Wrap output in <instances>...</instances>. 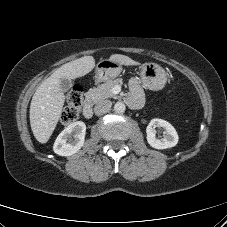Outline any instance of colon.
<instances>
[{"mask_svg": "<svg viewBox=\"0 0 227 227\" xmlns=\"http://www.w3.org/2000/svg\"><path fill=\"white\" fill-rule=\"evenodd\" d=\"M83 105V90L80 86H74L66 97L64 110L61 116V122L69 125L75 122Z\"/></svg>", "mask_w": 227, "mask_h": 227, "instance_id": "1", "label": "colon"}]
</instances>
